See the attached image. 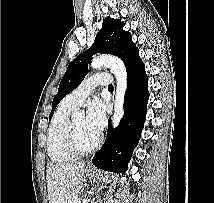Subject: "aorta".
<instances>
[{
  "mask_svg": "<svg viewBox=\"0 0 214 203\" xmlns=\"http://www.w3.org/2000/svg\"><path fill=\"white\" fill-rule=\"evenodd\" d=\"M107 67L112 70L116 78V96L114 101V114L112 116V125L116 128L124 115V98L127 89V72L123 61L112 55H101L94 58L91 62V68L98 69ZM81 111L79 116H83Z\"/></svg>",
  "mask_w": 214,
  "mask_h": 203,
  "instance_id": "1",
  "label": "aorta"
}]
</instances>
